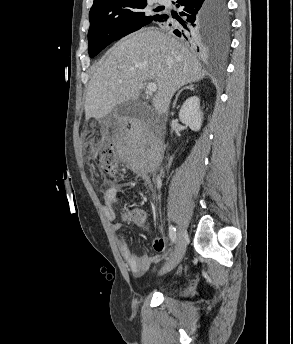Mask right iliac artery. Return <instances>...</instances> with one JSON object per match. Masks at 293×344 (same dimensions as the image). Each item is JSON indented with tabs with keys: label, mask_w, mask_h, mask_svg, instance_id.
Returning a JSON list of instances; mask_svg holds the SVG:
<instances>
[{
	"label": "right iliac artery",
	"mask_w": 293,
	"mask_h": 344,
	"mask_svg": "<svg viewBox=\"0 0 293 344\" xmlns=\"http://www.w3.org/2000/svg\"><path fill=\"white\" fill-rule=\"evenodd\" d=\"M169 236L172 243H176V228L172 225L169 226Z\"/></svg>",
	"instance_id": "1"
}]
</instances>
